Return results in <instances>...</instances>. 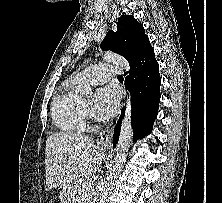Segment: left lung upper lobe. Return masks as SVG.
<instances>
[{
    "instance_id": "left-lung-upper-lobe-1",
    "label": "left lung upper lobe",
    "mask_w": 222,
    "mask_h": 203,
    "mask_svg": "<svg viewBox=\"0 0 222 203\" xmlns=\"http://www.w3.org/2000/svg\"><path fill=\"white\" fill-rule=\"evenodd\" d=\"M147 39L142 24L131 15H122L117 23V31L110 30L107 33L101 43V49L124 56L131 65Z\"/></svg>"
}]
</instances>
